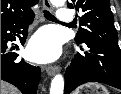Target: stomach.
Here are the masks:
<instances>
[{
    "label": "stomach",
    "mask_w": 121,
    "mask_h": 94,
    "mask_svg": "<svg viewBox=\"0 0 121 94\" xmlns=\"http://www.w3.org/2000/svg\"><path fill=\"white\" fill-rule=\"evenodd\" d=\"M74 94H110L109 91L102 85L96 83L85 84L81 91L77 90Z\"/></svg>",
    "instance_id": "1"
}]
</instances>
